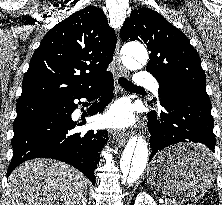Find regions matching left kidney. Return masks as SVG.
Listing matches in <instances>:
<instances>
[{
	"label": "left kidney",
	"instance_id": "obj_1",
	"mask_svg": "<svg viewBox=\"0 0 222 205\" xmlns=\"http://www.w3.org/2000/svg\"><path fill=\"white\" fill-rule=\"evenodd\" d=\"M134 205H156V203L149 194L141 192L137 195Z\"/></svg>",
	"mask_w": 222,
	"mask_h": 205
}]
</instances>
